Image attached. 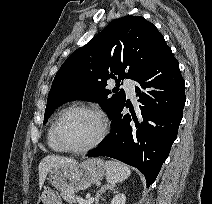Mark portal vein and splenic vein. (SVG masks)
<instances>
[{"label":"portal vein and splenic vein","mask_w":212,"mask_h":204,"mask_svg":"<svg viewBox=\"0 0 212 204\" xmlns=\"http://www.w3.org/2000/svg\"><path fill=\"white\" fill-rule=\"evenodd\" d=\"M77 201H78L80 204H93L94 198H89V199H87V200H83L82 198L78 197V198H77Z\"/></svg>","instance_id":"1"}]
</instances>
